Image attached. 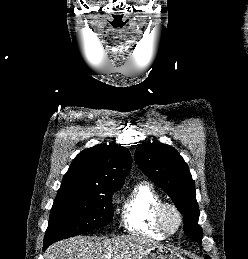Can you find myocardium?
<instances>
[{
  "instance_id": "myocardium-1",
  "label": "myocardium",
  "mask_w": 248,
  "mask_h": 259,
  "mask_svg": "<svg viewBox=\"0 0 248 259\" xmlns=\"http://www.w3.org/2000/svg\"><path fill=\"white\" fill-rule=\"evenodd\" d=\"M167 210H172L178 218V225L175 230H170L166 225L165 213ZM155 219L159 229L167 236L177 234L183 226V214L179 207L172 202H161L156 209Z\"/></svg>"
}]
</instances>
